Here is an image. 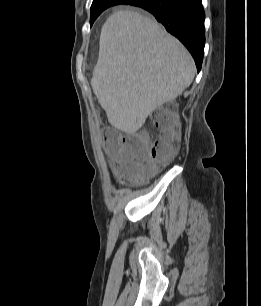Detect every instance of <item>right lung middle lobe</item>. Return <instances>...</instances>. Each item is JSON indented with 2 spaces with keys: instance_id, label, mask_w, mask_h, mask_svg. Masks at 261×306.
<instances>
[{
  "instance_id": "right-lung-middle-lobe-1",
  "label": "right lung middle lobe",
  "mask_w": 261,
  "mask_h": 306,
  "mask_svg": "<svg viewBox=\"0 0 261 306\" xmlns=\"http://www.w3.org/2000/svg\"><path fill=\"white\" fill-rule=\"evenodd\" d=\"M125 2L126 0H105V1L92 3L90 10L91 25L102 11L114 5L124 4Z\"/></svg>"
}]
</instances>
